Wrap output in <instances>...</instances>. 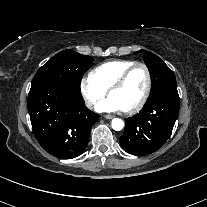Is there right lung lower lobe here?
<instances>
[{
    "mask_svg": "<svg viewBox=\"0 0 207 207\" xmlns=\"http://www.w3.org/2000/svg\"><path fill=\"white\" fill-rule=\"evenodd\" d=\"M28 112L42 148L64 159L84 151L91 127L100 117L85 106L81 93L55 83L31 86Z\"/></svg>",
    "mask_w": 207,
    "mask_h": 207,
    "instance_id": "1",
    "label": "right lung lower lobe"
}]
</instances>
